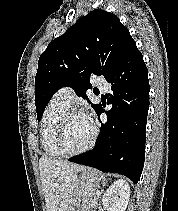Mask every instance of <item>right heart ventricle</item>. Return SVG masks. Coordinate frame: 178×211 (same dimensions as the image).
<instances>
[{
    "label": "right heart ventricle",
    "mask_w": 178,
    "mask_h": 211,
    "mask_svg": "<svg viewBox=\"0 0 178 211\" xmlns=\"http://www.w3.org/2000/svg\"><path fill=\"white\" fill-rule=\"evenodd\" d=\"M68 109L69 105L55 94L44 111L41 123V143L45 153L50 157L63 156L56 141L62 117Z\"/></svg>",
    "instance_id": "right-heart-ventricle-1"
}]
</instances>
